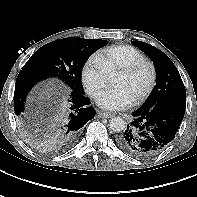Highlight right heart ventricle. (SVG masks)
Returning a JSON list of instances; mask_svg holds the SVG:
<instances>
[{
  "instance_id": "e07e8e85",
  "label": "right heart ventricle",
  "mask_w": 197,
  "mask_h": 197,
  "mask_svg": "<svg viewBox=\"0 0 197 197\" xmlns=\"http://www.w3.org/2000/svg\"><path fill=\"white\" fill-rule=\"evenodd\" d=\"M109 76L121 69L145 59L144 54L130 45H115L101 50L97 55Z\"/></svg>"
}]
</instances>
